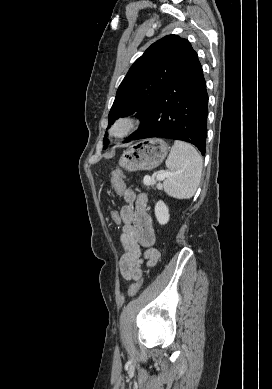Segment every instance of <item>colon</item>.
<instances>
[{
    "label": "colon",
    "mask_w": 272,
    "mask_h": 389,
    "mask_svg": "<svg viewBox=\"0 0 272 389\" xmlns=\"http://www.w3.org/2000/svg\"><path fill=\"white\" fill-rule=\"evenodd\" d=\"M124 175L121 170H113L111 173V183L113 186L114 191L117 194H122L124 192L125 186H124ZM111 219L115 225L121 224V216L120 211L118 210H112L111 211ZM143 280H139L135 283H133L130 287L129 293L131 296H135L142 288Z\"/></svg>",
    "instance_id": "1"
}]
</instances>
